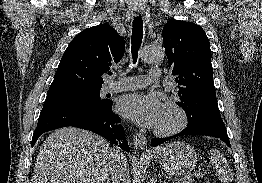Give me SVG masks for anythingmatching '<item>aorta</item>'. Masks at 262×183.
Masks as SVG:
<instances>
[{
    "mask_svg": "<svg viewBox=\"0 0 262 183\" xmlns=\"http://www.w3.org/2000/svg\"><path fill=\"white\" fill-rule=\"evenodd\" d=\"M165 53L161 47L145 46L140 54L141 60L145 63H159L164 59Z\"/></svg>",
    "mask_w": 262,
    "mask_h": 183,
    "instance_id": "aorta-1",
    "label": "aorta"
}]
</instances>
